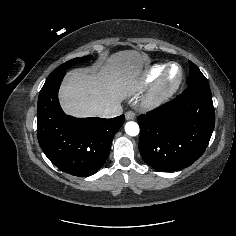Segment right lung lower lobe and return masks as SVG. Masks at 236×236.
I'll use <instances>...</instances> for the list:
<instances>
[{
	"instance_id": "obj_1",
	"label": "right lung lower lobe",
	"mask_w": 236,
	"mask_h": 236,
	"mask_svg": "<svg viewBox=\"0 0 236 236\" xmlns=\"http://www.w3.org/2000/svg\"><path fill=\"white\" fill-rule=\"evenodd\" d=\"M65 72L48 77L37 105V137L48 159L61 171L90 176L105 163L114 135L125 116L112 119L74 118L66 115L58 101Z\"/></svg>"
}]
</instances>
